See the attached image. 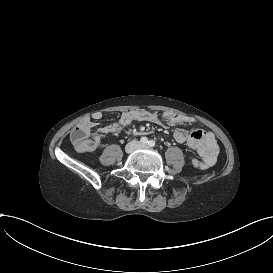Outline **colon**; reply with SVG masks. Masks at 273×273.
I'll list each match as a JSON object with an SVG mask.
<instances>
[{
	"label": "colon",
	"instance_id": "5ec220e1",
	"mask_svg": "<svg viewBox=\"0 0 273 273\" xmlns=\"http://www.w3.org/2000/svg\"><path fill=\"white\" fill-rule=\"evenodd\" d=\"M93 131L94 126L92 122L84 120L74 131L68 133L67 140L80 152H92L96 148V143L87 137L91 136Z\"/></svg>",
	"mask_w": 273,
	"mask_h": 273
}]
</instances>
